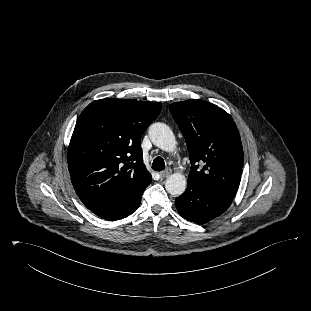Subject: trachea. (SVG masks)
<instances>
[{
  "instance_id": "obj_1",
  "label": "trachea",
  "mask_w": 311,
  "mask_h": 311,
  "mask_svg": "<svg viewBox=\"0 0 311 311\" xmlns=\"http://www.w3.org/2000/svg\"><path fill=\"white\" fill-rule=\"evenodd\" d=\"M152 169L155 171H162L165 169V162L162 157H156L152 163Z\"/></svg>"
}]
</instances>
